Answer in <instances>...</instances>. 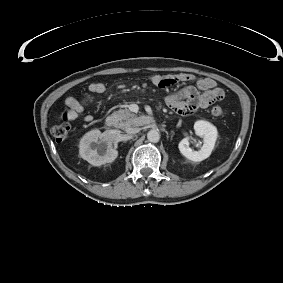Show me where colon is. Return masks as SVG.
Wrapping results in <instances>:
<instances>
[{"label": "colon", "mask_w": 283, "mask_h": 283, "mask_svg": "<svg viewBox=\"0 0 283 283\" xmlns=\"http://www.w3.org/2000/svg\"><path fill=\"white\" fill-rule=\"evenodd\" d=\"M211 114L215 118H222L225 116V109L220 106L216 105L211 109ZM70 131V125L68 122L64 121L63 123L56 125L52 129V136L57 140V141H64Z\"/></svg>", "instance_id": "obj_1"}]
</instances>
